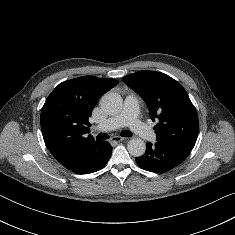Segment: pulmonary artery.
<instances>
[{
    "mask_svg": "<svg viewBox=\"0 0 235 235\" xmlns=\"http://www.w3.org/2000/svg\"><path fill=\"white\" fill-rule=\"evenodd\" d=\"M138 100L134 95H128L125 98L122 111L113 117L108 118L102 123L96 125L94 130L112 131L118 128L128 126L138 135L146 139H153L154 133L146 124L138 118Z\"/></svg>",
    "mask_w": 235,
    "mask_h": 235,
    "instance_id": "e3ab8cb5",
    "label": "pulmonary artery"
}]
</instances>
